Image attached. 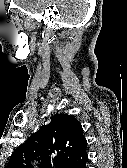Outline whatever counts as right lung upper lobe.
<instances>
[{
  "label": "right lung upper lobe",
  "mask_w": 127,
  "mask_h": 168,
  "mask_svg": "<svg viewBox=\"0 0 127 168\" xmlns=\"http://www.w3.org/2000/svg\"><path fill=\"white\" fill-rule=\"evenodd\" d=\"M86 144L80 122L58 114L16 148L7 168H32L35 157L40 161L39 168H76L88 157Z\"/></svg>",
  "instance_id": "cb5924a9"
}]
</instances>
